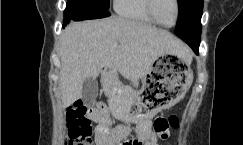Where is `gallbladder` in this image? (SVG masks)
<instances>
[{"label": "gallbladder", "mask_w": 243, "mask_h": 145, "mask_svg": "<svg viewBox=\"0 0 243 145\" xmlns=\"http://www.w3.org/2000/svg\"><path fill=\"white\" fill-rule=\"evenodd\" d=\"M98 95V82L96 79L88 77L82 85V99L89 105L94 102Z\"/></svg>", "instance_id": "obj_1"}]
</instances>
